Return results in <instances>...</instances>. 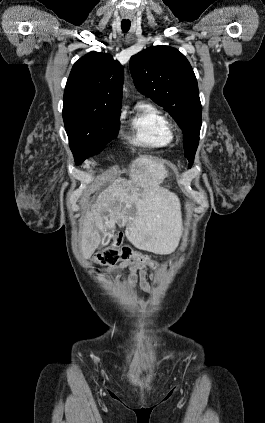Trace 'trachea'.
Here are the masks:
<instances>
[{
    "label": "trachea",
    "mask_w": 265,
    "mask_h": 423,
    "mask_svg": "<svg viewBox=\"0 0 265 423\" xmlns=\"http://www.w3.org/2000/svg\"><path fill=\"white\" fill-rule=\"evenodd\" d=\"M130 26H131V22L129 20H122L121 29L124 33L129 31Z\"/></svg>",
    "instance_id": "3493384b"
}]
</instances>
